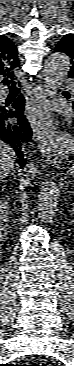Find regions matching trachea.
<instances>
[{
    "label": "trachea",
    "mask_w": 74,
    "mask_h": 366,
    "mask_svg": "<svg viewBox=\"0 0 74 366\" xmlns=\"http://www.w3.org/2000/svg\"><path fill=\"white\" fill-rule=\"evenodd\" d=\"M12 87L17 88L16 82L14 80H12Z\"/></svg>",
    "instance_id": "1"
}]
</instances>
